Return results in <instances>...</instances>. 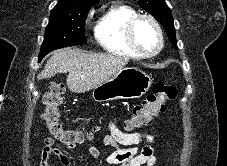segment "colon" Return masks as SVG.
<instances>
[{
    "mask_svg": "<svg viewBox=\"0 0 227 166\" xmlns=\"http://www.w3.org/2000/svg\"><path fill=\"white\" fill-rule=\"evenodd\" d=\"M64 87L59 83L50 84L44 98L42 120L48 132L61 144L75 146L84 143L90 135L82 131L64 127L61 122V107L64 103ZM176 87L170 82H158L139 104L135 105L131 116L124 122L126 130L149 126L154 117L166 109V104L175 99Z\"/></svg>",
    "mask_w": 227,
    "mask_h": 166,
    "instance_id": "obj_1",
    "label": "colon"
}]
</instances>
